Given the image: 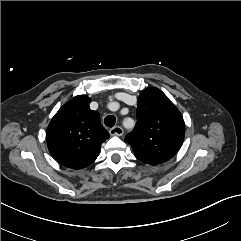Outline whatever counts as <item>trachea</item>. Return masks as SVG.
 <instances>
[{
  "mask_svg": "<svg viewBox=\"0 0 241 241\" xmlns=\"http://www.w3.org/2000/svg\"><path fill=\"white\" fill-rule=\"evenodd\" d=\"M104 123L107 127H113L116 123V118L113 115H108L104 119Z\"/></svg>",
  "mask_w": 241,
  "mask_h": 241,
  "instance_id": "1",
  "label": "trachea"
}]
</instances>
